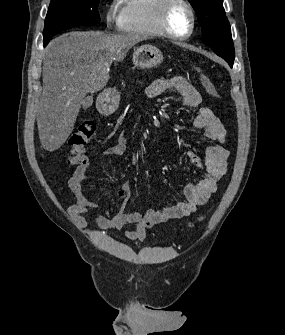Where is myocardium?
<instances>
[{
    "label": "myocardium",
    "instance_id": "obj_1",
    "mask_svg": "<svg viewBox=\"0 0 285 335\" xmlns=\"http://www.w3.org/2000/svg\"><path fill=\"white\" fill-rule=\"evenodd\" d=\"M176 5L182 6L187 11V13L191 18L190 25L188 27L187 32L185 33L177 31L171 24V13ZM194 22H195L194 14L191 6L187 1H164L160 13V23L162 29L164 30L167 36L175 39H182L188 37L193 30Z\"/></svg>",
    "mask_w": 285,
    "mask_h": 335
}]
</instances>
